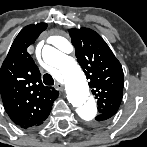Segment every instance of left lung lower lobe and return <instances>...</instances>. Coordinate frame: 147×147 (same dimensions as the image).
<instances>
[{"instance_id":"left-lung-lower-lobe-1","label":"left lung lower lobe","mask_w":147,"mask_h":147,"mask_svg":"<svg viewBox=\"0 0 147 147\" xmlns=\"http://www.w3.org/2000/svg\"><path fill=\"white\" fill-rule=\"evenodd\" d=\"M114 115V113H105V114H99L96 119L98 121H104L109 119L110 117H112Z\"/></svg>"}]
</instances>
